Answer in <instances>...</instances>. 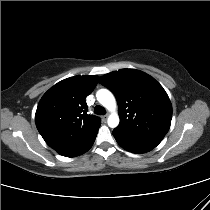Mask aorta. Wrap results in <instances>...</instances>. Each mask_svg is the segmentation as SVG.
Returning <instances> with one entry per match:
<instances>
[{"label": "aorta", "instance_id": "762f6f07", "mask_svg": "<svg viewBox=\"0 0 210 210\" xmlns=\"http://www.w3.org/2000/svg\"><path fill=\"white\" fill-rule=\"evenodd\" d=\"M96 97L100 104L111 111L108 117V126L111 128L117 127L119 124V116L116 112V100L113 94L108 89H100L97 91Z\"/></svg>", "mask_w": 210, "mask_h": 210}]
</instances>
